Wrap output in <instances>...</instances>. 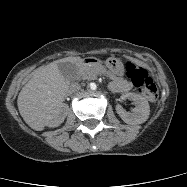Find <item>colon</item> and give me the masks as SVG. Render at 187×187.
Wrapping results in <instances>:
<instances>
[{
    "label": "colon",
    "mask_w": 187,
    "mask_h": 187,
    "mask_svg": "<svg viewBox=\"0 0 187 187\" xmlns=\"http://www.w3.org/2000/svg\"><path fill=\"white\" fill-rule=\"evenodd\" d=\"M126 73L139 92L148 100L155 101L157 99V87L143 67L133 62H128L126 64Z\"/></svg>",
    "instance_id": "obj_1"
}]
</instances>
